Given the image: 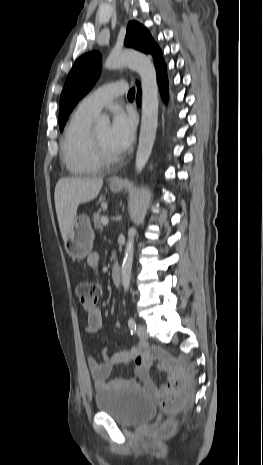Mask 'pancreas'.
<instances>
[{
  "label": "pancreas",
  "mask_w": 263,
  "mask_h": 465,
  "mask_svg": "<svg viewBox=\"0 0 263 465\" xmlns=\"http://www.w3.org/2000/svg\"><path fill=\"white\" fill-rule=\"evenodd\" d=\"M100 211H97L93 214V223H94V227L96 229H102L103 228V225H102V222H101V215H100Z\"/></svg>",
  "instance_id": "pancreas-1"
}]
</instances>
